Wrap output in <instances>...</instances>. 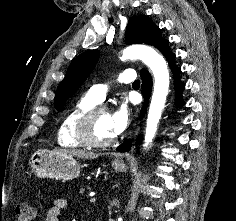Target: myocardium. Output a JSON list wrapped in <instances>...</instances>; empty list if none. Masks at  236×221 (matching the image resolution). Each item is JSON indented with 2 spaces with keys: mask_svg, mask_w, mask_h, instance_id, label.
Masks as SVG:
<instances>
[{
  "mask_svg": "<svg viewBox=\"0 0 236 221\" xmlns=\"http://www.w3.org/2000/svg\"><path fill=\"white\" fill-rule=\"evenodd\" d=\"M103 111L108 112V109L105 106L96 105L87 111L79 120L76 129V137L85 146L102 148L110 146L116 141V137L108 140H100L96 138L94 134L96 119Z\"/></svg>",
  "mask_w": 236,
  "mask_h": 221,
  "instance_id": "1",
  "label": "myocardium"
}]
</instances>
